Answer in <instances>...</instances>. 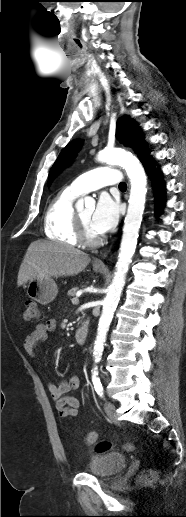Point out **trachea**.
Wrapping results in <instances>:
<instances>
[{
	"label": "trachea",
	"mask_w": 186,
	"mask_h": 517,
	"mask_svg": "<svg viewBox=\"0 0 186 517\" xmlns=\"http://www.w3.org/2000/svg\"><path fill=\"white\" fill-rule=\"evenodd\" d=\"M126 187H127V185H126V183H125V182H121V183L119 184V188H120V189H126Z\"/></svg>",
	"instance_id": "1"
}]
</instances>
